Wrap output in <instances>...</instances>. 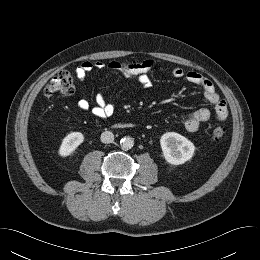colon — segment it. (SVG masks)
<instances>
[{
	"label": "colon",
	"mask_w": 260,
	"mask_h": 260,
	"mask_svg": "<svg viewBox=\"0 0 260 260\" xmlns=\"http://www.w3.org/2000/svg\"><path fill=\"white\" fill-rule=\"evenodd\" d=\"M74 92L73 76L68 71L58 72L46 85L44 93L46 96L55 94L71 95ZM226 134V127L216 123L211 127V137L215 141L221 140Z\"/></svg>",
	"instance_id": "obj_1"
}]
</instances>
